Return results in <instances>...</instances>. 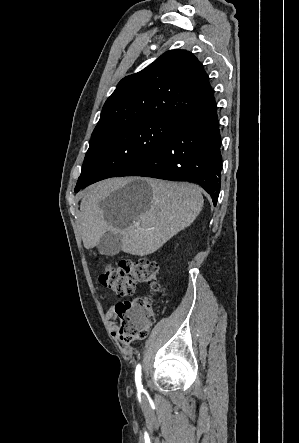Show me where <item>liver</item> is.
<instances>
[{
	"label": "liver",
	"instance_id": "liver-1",
	"mask_svg": "<svg viewBox=\"0 0 299 443\" xmlns=\"http://www.w3.org/2000/svg\"><path fill=\"white\" fill-rule=\"evenodd\" d=\"M203 203L200 189L189 183L152 178L101 181L88 187L81 200L84 247L94 248L109 232L122 237L123 252L149 255L190 226Z\"/></svg>",
	"mask_w": 299,
	"mask_h": 443
}]
</instances>
